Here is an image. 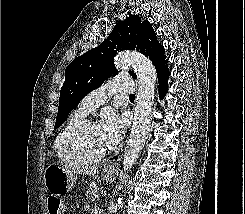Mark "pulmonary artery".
<instances>
[{"label": "pulmonary artery", "instance_id": "1", "mask_svg": "<svg viewBox=\"0 0 245 214\" xmlns=\"http://www.w3.org/2000/svg\"><path fill=\"white\" fill-rule=\"evenodd\" d=\"M134 90L135 84L133 80L125 77H116L86 95L79 107L89 113L104 104L113 94H131Z\"/></svg>", "mask_w": 245, "mask_h": 214}]
</instances>
